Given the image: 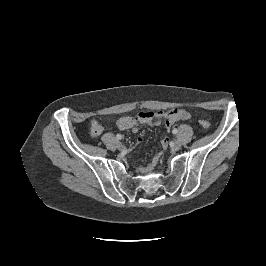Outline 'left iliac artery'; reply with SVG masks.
Returning a JSON list of instances; mask_svg holds the SVG:
<instances>
[{"label":"left iliac artery","mask_w":266,"mask_h":266,"mask_svg":"<svg viewBox=\"0 0 266 266\" xmlns=\"http://www.w3.org/2000/svg\"><path fill=\"white\" fill-rule=\"evenodd\" d=\"M172 133H173V134H177V133H178V130L174 128V129L172 130Z\"/></svg>","instance_id":"obj_1"}]
</instances>
